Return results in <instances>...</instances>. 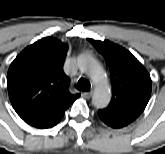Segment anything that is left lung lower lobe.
I'll return each mask as SVG.
<instances>
[{
    "mask_svg": "<svg viewBox=\"0 0 165 154\" xmlns=\"http://www.w3.org/2000/svg\"><path fill=\"white\" fill-rule=\"evenodd\" d=\"M98 115H99L100 119L110 127L121 128V127H124V126L128 125V123H126L125 121L106 117V116L102 115L99 112H98Z\"/></svg>",
    "mask_w": 165,
    "mask_h": 154,
    "instance_id": "1",
    "label": "left lung lower lobe"
}]
</instances>
